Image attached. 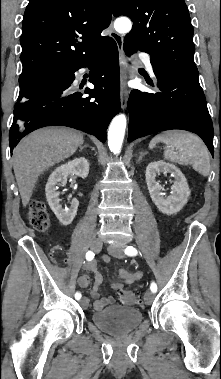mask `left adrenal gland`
Masks as SVG:
<instances>
[{"label":"left adrenal gland","mask_w":221,"mask_h":379,"mask_svg":"<svg viewBox=\"0 0 221 379\" xmlns=\"http://www.w3.org/2000/svg\"><path fill=\"white\" fill-rule=\"evenodd\" d=\"M146 154H147V152H141L137 162H140L142 160L143 156H145Z\"/></svg>","instance_id":"1"}]
</instances>
